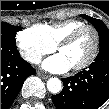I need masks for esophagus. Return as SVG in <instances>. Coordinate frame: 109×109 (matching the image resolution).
Returning <instances> with one entry per match:
<instances>
[{"label": "esophagus", "mask_w": 109, "mask_h": 109, "mask_svg": "<svg viewBox=\"0 0 109 109\" xmlns=\"http://www.w3.org/2000/svg\"><path fill=\"white\" fill-rule=\"evenodd\" d=\"M37 74H38V76H40L43 79H48L50 77L49 75L42 73V72H39V71L37 72Z\"/></svg>", "instance_id": "obj_1"}]
</instances>
